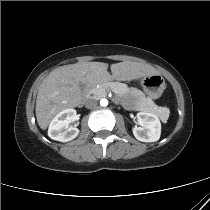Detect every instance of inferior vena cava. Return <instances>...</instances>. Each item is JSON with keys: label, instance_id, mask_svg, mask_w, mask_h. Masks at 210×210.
Masks as SVG:
<instances>
[{"label": "inferior vena cava", "instance_id": "obj_1", "mask_svg": "<svg viewBox=\"0 0 210 210\" xmlns=\"http://www.w3.org/2000/svg\"><path fill=\"white\" fill-rule=\"evenodd\" d=\"M97 105V100L96 99H88L86 102H85V107L88 108V109H91L93 107H95Z\"/></svg>", "mask_w": 210, "mask_h": 210}]
</instances>
